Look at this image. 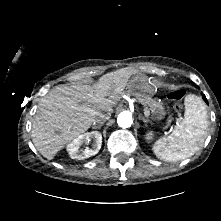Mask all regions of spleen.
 Masks as SVG:
<instances>
[{"label":"spleen","instance_id":"spleen-1","mask_svg":"<svg viewBox=\"0 0 221 221\" xmlns=\"http://www.w3.org/2000/svg\"><path fill=\"white\" fill-rule=\"evenodd\" d=\"M184 118L178 120L174 130L153 145V152L163 161L176 162L187 159L203 145L207 129L208 115L204 102L196 95L185 97Z\"/></svg>","mask_w":221,"mask_h":221}]
</instances>
